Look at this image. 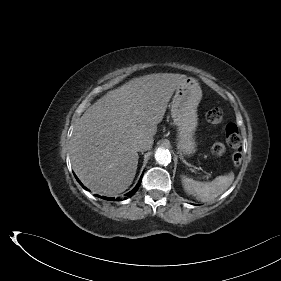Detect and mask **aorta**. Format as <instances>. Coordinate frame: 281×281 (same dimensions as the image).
<instances>
[{
  "mask_svg": "<svg viewBox=\"0 0 281 281\" xmlns=\"http://www.w3.org/2000/svg\"><path fill=\"white\" fill-rule=\"evenodd\" d=\"M155 159L161 165L168 164L171 161V154L164 148H158L155 152Z\"/></svg>",
  "mask_w": 281,
  "mask_h": 281,
  "instance_id": "762f6f07",
  "label": "aorta"
}]
</instances>
